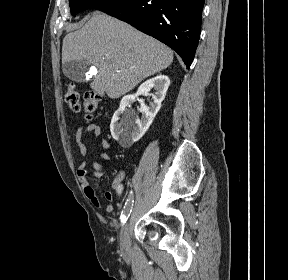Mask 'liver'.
Wrapping results in <instances>:
<instances>
[{
	"label": "liver",
	"instance_id": "6515ba94",
	"mask_svg": "<svg viewBox=\"0 0 288 280\" xmlns=\"http://www.w3.org/2000/svg\"><path fill=\"white\" fill-rule=\"evenodd\" d=\"M71 60L96 66L98 73L90 87L115 99L169 67L173 51L131 25L95 11L81 29L63 39L62 63Z\"/></svg>",
	"mask_w": 288,
	"mask_h": 280
}]
</instances>
